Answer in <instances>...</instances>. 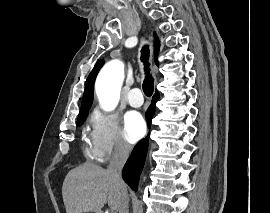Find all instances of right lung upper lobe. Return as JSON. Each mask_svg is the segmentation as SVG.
<instances>
[{
  "instance_id": "1",
  "label": "right lung upper lobe",
  "mask_w": 270,
  "mask_h": 213,
  "mask_svg": "<svg viewBox=\"0 0 270 213\" xmlns=\"http://www.w3.org/2000/svg\"><path fill=\"white\" fill-rule=\"evenodd\" d=\"M154 38H155L154 39V56H155V62L158 65L157 55L159 52L160 43H159V39H158L156 34H154ZM103 63L104 62L102 60L97 62L87 78L86 87H85V91H84V95H83V99H82L81 110H80L79 114L87 113L91 104H92L94 81H95L97 73L100 70V68L102 67Z\"/></svg>"
}]
</instances>
